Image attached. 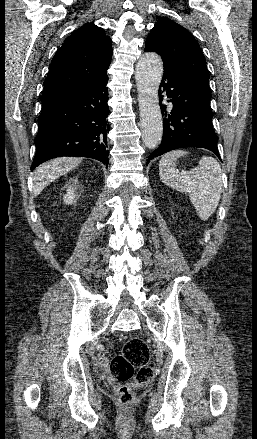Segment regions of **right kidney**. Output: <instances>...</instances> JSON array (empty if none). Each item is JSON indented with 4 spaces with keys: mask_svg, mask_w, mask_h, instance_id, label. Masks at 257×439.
I'll list each match as a JSON object with an SVG mask.
<instances>
[{
    "mask_svg": "<svg viewBox=\"0 0 257 439\" xmlns=\"http://www.w3.org/2000/svg\"><path fill=\"white\" fill-rule=\"evenodd\" d=\"M74 187L70 186L67 188V194L64 196V202L68 204H72L74 202L75 194H74Z\"/></svg>",
    "mask_w": 257,
    "mask_h": 439,
    "instance_id": "obj_1",
    "label": "right kidney"
}]
</instances>
